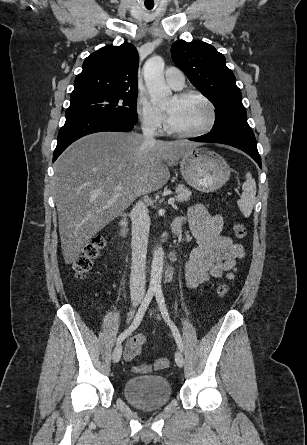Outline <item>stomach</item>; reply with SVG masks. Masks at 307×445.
Masks as SVG:
<instances>
[{
	"mask_svg": "<svg viewBox=\"0 0 307 445\" xmlns=\"http://www.w3.org/2000/svg\"><path fill=\"white\" fill-rule=\"evenodd\" d=\"M180 170L187 184L201 192L221 188L230 176V166L226 160L204 146H195L184 154L180 160Z\"/></svg>",
	"mask_w": 307,
	"mask_h": 445,
	"instance_id": "stomach-1",
	"label": "stomach"
}]
</instances>
